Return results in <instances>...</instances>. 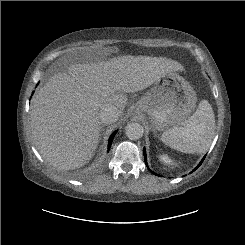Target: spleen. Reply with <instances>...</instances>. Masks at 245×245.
I'll return each instance as SVG.
<instances>
[{
  "instance_id": "1",
  "label": "spleen",
  "mask_w": 245,
  "mask_h": 245,
  "mask_svg": "<svg viewBox=\"0 0 245 245\" xmlns=\"http://www.w3.org/2000/svg\"><path fill=\"white\" fill-rule=\"evenodd\" d=\"M215 135V117L211 105L202 100L194 114L182 126L163 132L161 140L169 147L184 153H204Z\"/></svg>"
}]
</instances>
